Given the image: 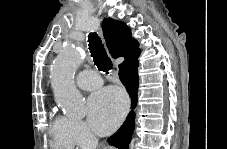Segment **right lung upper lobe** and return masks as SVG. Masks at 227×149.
Wrapping results in <instances>:
<instances>
[{
	"instance_id": "right-lung-upper-lobe-1",
	"label": "right lung upper lobe",
	"mask_w": 227,
	"mask_h": 149,
	"mask_svg": "<svg viewBox=\"0 0 227 149\" xmlns=\"http://www.w3.org/2000/svg\"><path fill=\"white\" fill-rule=\"evenodd\" d=\"M102 29L107 47L113 58L124 56L125 61L119 65L137 60L140 54L139 43L131 37V31L126 24L105 18Z\"/></svg>"
}]
</instances>
